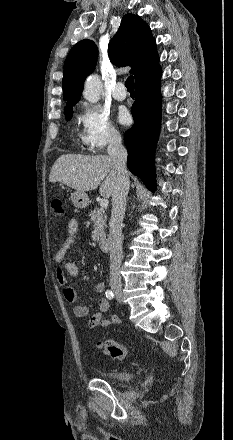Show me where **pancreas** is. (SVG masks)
<instances>
[{
  "instance_id": "obj_1",
  "label": "pancreas",
  "mask_w": 233,
  "mask_h": 440,
  "mask_svg": "<svg viewBox=\"0 0 233 440\" xmlns=\"http://www.w3.org/2000/svg\"><path fill=\"white\" fill-rule=\"evenodd\" d=\"M91 221L94 225V231L92 234V239L95 242H100L105 239V228H106V221L107 216L105 213L104 208H95L93 211L90 212Z\"/></svg>"
}]
</instances>
